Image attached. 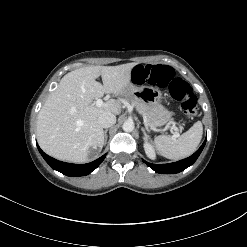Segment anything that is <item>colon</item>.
Masks as SVG:
<instances>
[{"label":"colon","mask_w":247,"mask_h":247,"mask_svg":"<svg viewBox=\"0 0 247 247\" xmlns=\"http://www.w3.org/2000/svg\"><path fill=\"white\" fill-rule=\"evenodd\" d=\"M132 78L138 84L168 87L171 97L180 102L187 116L193 117L197 114V97L191 86L183 79L175 77L171 67L160 64L137 65L132 69Z\"/></svg>","instance_id":"obj_1"}]
</instances>
